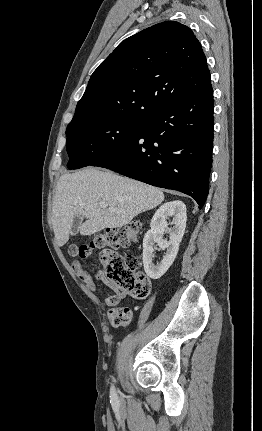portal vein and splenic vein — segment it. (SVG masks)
Returning <instances> with one entry per match:
<instances>
[{"mask_svg": "<svg viewBox=\"0 0 262 431\" xmlns=\"http://www.w3.org/2000/svg\"><path fill=\"white\" fill-rule=\"evenodd\" d=\"M99 205H100L101 207H103V208H106V207L108 206V205H107V203H105V202H100V203H99ZM109 210H110V211H114L115 209H114V208H112V207H110V208H109Z\"/></svg>", "mask_w": 262, "mask_h": 431, "instance_id": "1", "label": "portal vein and splenic vein"}]
</instances>
